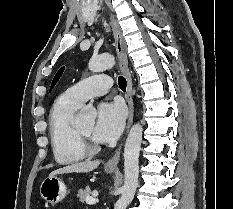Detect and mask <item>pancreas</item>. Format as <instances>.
I'll use <instances>...</instances> for the list:
<instances>
[{
    "label": "pancreas",
    "mask_w": 233,
    "mask_h": 209,
    "mask_svg": "<svg viewBox=\"0 0 233 209\" xmlns=\"http://www.w3.org/2000/svg\"><path fill=\"white\" fill-rule=\"evenodd\" d=\"M91 190L89 187H86L84 190H79L77 197L79 198L80 202L84 203L87 197H90Z\"/></svg>",
    "instance_id": "pancreas-1"
}]
</instances>
